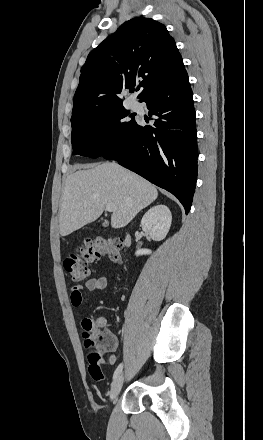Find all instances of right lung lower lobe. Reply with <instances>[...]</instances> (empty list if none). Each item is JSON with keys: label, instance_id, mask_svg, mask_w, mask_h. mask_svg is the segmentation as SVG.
<instances>
[{"label": "right lung lower lobe", "instance_id": "1", "mask_svg": "<svg viewBox=\"0 0 263 440\" xmlns=\"http://www.w3.org/2000/svg\"><path fill=\"white\" fill-rule=\"evenodd\" d=\"M147 103L154 127L137 124L101 155L192 204L197 179V131L193 94L186 70L150 91Z\"/></svg>", "mask_w": 263, "mask_h": 440}]
</instances>
